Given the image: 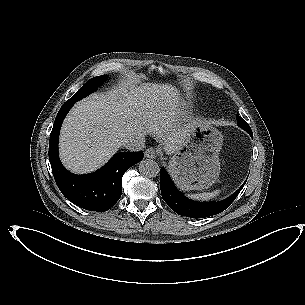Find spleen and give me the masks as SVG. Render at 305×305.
<instances>
[{
	"label": "spleen",
	"instance_id": "obj_1",
	"mask_svg": "<svg viewBox=\"0 0 305 305\" xmlns=\"http://www.w3.org/2000/svg\"><path fill=\"white\" fill-rule=\"evenodd\" d=\"M220 193V190L216 189L212 192H204L188 195V198L197 200V201H208L214 197H216Z\"/></svg>",
	"mask_w": 305,
	"mask_h": 305
}]
</instances>
